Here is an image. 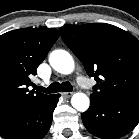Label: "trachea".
<instances>
[{"mask_svg":"<svg viewBox=\"0 0 139 139\" xmlns=\"http://www.w3.org/2000/svg\"><path fill=\"white\" fill-rule=\"evenodd\" d=\"M37 90L39 92H44L47 94L50 93H56V92H71L72 91V85L69 82H53L52 84H50V86L48 88H44V87H38Z\"/></svg>","mask_w":139,"mask_h":139,"instance_id":"3493384b","label":"trachea"}]
</instances>
